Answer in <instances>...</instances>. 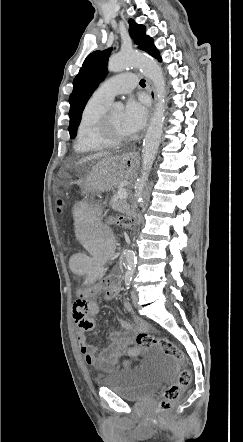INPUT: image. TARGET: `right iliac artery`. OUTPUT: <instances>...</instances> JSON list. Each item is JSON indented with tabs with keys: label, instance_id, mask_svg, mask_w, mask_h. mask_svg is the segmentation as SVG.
I'll list each match as a JSON object with an SVG mask.
<instances>
[{
	"label": "right iliac artery",
	"instance_id": "obj_1",
	"mask_svg": "<svg viewBox=\"0 0 243 442\" xmlns=\"http://www.w3.org/2000/svg\"><path fill=\"white\" fill-rule=\"evenodd\" d=\"M132 276H133L132 272H127L125 275V284H126L127 289H129V287H130Z\"/></svg>",
	"mask_w": 243,
	"mask_h": 442
}]
</instances>
